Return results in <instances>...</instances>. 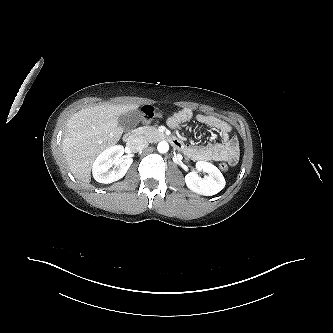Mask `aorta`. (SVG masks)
I'll return each instance as SVG.
<instances>
[{
  "instance_id": "obj_1",
  "label": "aorta",
  "mask_w": 333,
  "mask_h": 333,
  "mask_svg": "<svg viewBox=\"0 0 333 333\" xmlns=\"http://www.w3.org/2000/svg\"><path fill=\"white\" fill-rule=\"evenodd\" d=\"M157 150L159 153H166L169 150V144L166 141L158 143Z\"/></svg>"
}]
</instances>
